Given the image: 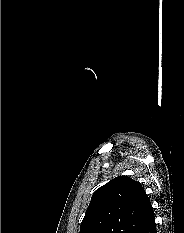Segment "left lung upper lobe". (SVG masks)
Masks as SVG:
<instances>
[{
  "label": "left lung upper lobe",
  "instance_id": "obj_1",
  "mask_svg": "<svg viewBox=\"0 0 184 233\" xmlns=\"http://www.w3.org/2000/svg\"><path fill=\"white\" fill-rule=\"evenodd\" d=\"M151 212L141 184L118 176L93 193L80 233H142Z\"/></svg>",
  "mask_w": 184,
  "mask_h": 233
}]
</instances>
